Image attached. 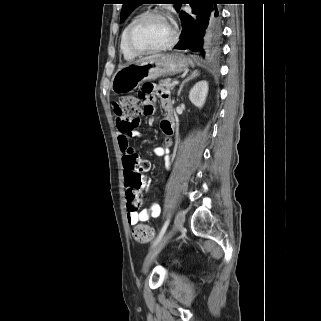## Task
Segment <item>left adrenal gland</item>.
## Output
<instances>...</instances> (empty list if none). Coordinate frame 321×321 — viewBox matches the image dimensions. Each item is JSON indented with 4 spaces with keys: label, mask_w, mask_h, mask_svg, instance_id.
Instances as JSON below:
<instances>
[{
    "label": "left adrenal gland",
    "mask_w": 321,
    "mask_h": 321,
    "mask_svg": "<svg viewBox=\"0 0 321 321\" xmlns=\"http://www.w3.org/2000/svg\"><path fill=\"white\" fill-rule=\"evenodd\" d=\"M197 76H199V72H198V70H195V71H193L186 79H184V80L182 81V83H181V85H180V88H179V90H178V96H180V93H181L182 88H183V86L185 85V83H187L188 81L196 78Z\"/></svg>",
    "instance_id": "obj_1"
}]
</instances>
